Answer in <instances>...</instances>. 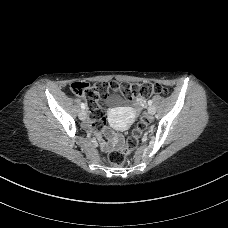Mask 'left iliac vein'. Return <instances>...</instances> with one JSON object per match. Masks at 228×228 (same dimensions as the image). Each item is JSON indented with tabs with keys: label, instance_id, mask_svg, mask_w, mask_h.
Here are the masks:
<instances>
[{
	"label": "left iliac vein",
	"instance_id": "left-iliac-vein-1",
	"mask_svg": "<svg viewBox=\"0 0 228 228\" xmlns=\"http://www.w3.org/2000/svg\"><path fill=\"white\" fill-rule=\"evenodd\" d=\"M154 113H155V108H154L153 106H150V107L148 108V114H149V115H154Z\"/></svg>",
	"mask_w": 228,
	"mask_h": 228
}]
</instances>
